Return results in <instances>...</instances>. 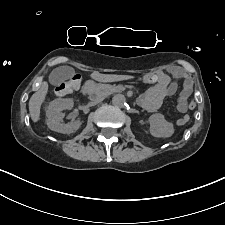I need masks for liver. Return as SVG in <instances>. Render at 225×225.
<instances>
[{"mask_svg": "<svg viewBox=\"0 0 225 225\" xmlns=\"http://www.w3.org/2000/svg\"><path fill=\"white\" fill-rule=\"evenodd\" d=\"M91 77L99 82H114L127 79V76L112 75V74H100L99 72H93ZM48 92V83L42 82L39 89L31 96L29 100V113L33 122H38L40 119L41 105L45 100Z\"/></svg>", "mask_w": 225, "mask_h": 225, "instance_id": "liver-1", "label": "liver"}]
</instances>
